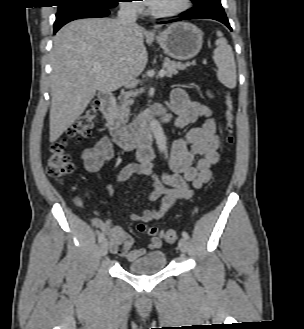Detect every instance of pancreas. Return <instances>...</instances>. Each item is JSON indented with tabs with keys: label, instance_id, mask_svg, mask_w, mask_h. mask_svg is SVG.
<instances>
[{
	"label": "pancreas",
	"instance_id": "cf45deb5",
	"mask_svg": "<svg viewBox=\"0 0 304 329\" xmlns=\"http://www.w3.org/2000/svg\"><path fill=\"white\" fill-rule=\"evenodd\" d=\"M164 66L166 68V76L171 77L178 73V70H184L187 67V64L181 62L172 61L168 58L164 59ZM139 94L138 91H128L120 99V104L118 106L119 111L123 114L124 117L129 116V107L133 104L132 97H136Z\"/></svg>",
	"mask_w": 304,
	"mask_h": 329
}]
</instances>
